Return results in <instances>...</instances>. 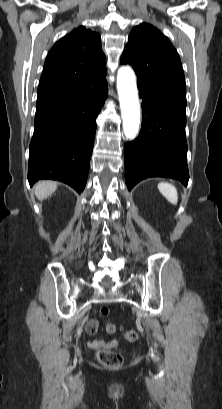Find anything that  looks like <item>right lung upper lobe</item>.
Segmentation results:
<instances>
[{
    "mask_svg": "<svg viewBox=\"0 0 222 409\" xmlns=\"http://www.w3.org/2000/svg\"><path fill=\"white\" fill-rule=\"evenodd\" d=\"M106 74L98 33L83 26L60 39L49 51L38 87L37 105L82 93L90 78Z\"/></svg>",
    "mask_w": 222,
    "mask_h": 409,
    "instance_id": "right-lung-upper-lobe-1",
    "label": "right lung upper lobe"
}]
</instances>
